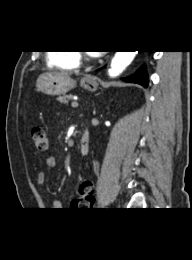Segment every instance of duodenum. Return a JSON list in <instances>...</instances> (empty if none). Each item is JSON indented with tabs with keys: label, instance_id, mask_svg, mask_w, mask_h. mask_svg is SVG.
Here are the masks:
<instances>
[{
	"label": "duodenum",
	"instance_id": "duodenum-1",
	"mask_svg": "<svg viewBox=\"0 0 192 260\" xmlns=\"http://www.w3.org/2000/svg\"><path fill=\"white\" fill-rule=\"evenodd\" d=\"M90 150V135L88 131H85L79 142V152L82 155L88 154Z\"/></svg>",
	"mask_w": 192,
	"mask_h": 260
}]
</instances>
